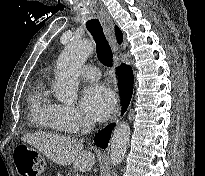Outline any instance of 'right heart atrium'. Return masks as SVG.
<instances>
[{"mask_svg": "<svg viewBox=\"0 0 205 176\" xmlns=\"http://www.w3.org/2000/svg\"><path fill=\"white\" fill-rule=\"evenodd\" d=\"M58 114L65 127H83L88 123L81 111L73 106L59 105Z\"/></svg>", "mask_w": 205, "mask_h": 176, "instance_id": "obj_1", "label": "right heart atrium"}]
</instances>
